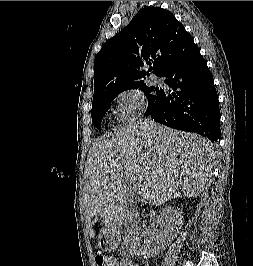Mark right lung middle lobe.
Wrapping results in <instances>:
<instances>
[{"label":"right lung middle lobe","instance_id":"obj_1","mask_svg":"<svg viewBox=\"0 0 253 266\" xmlns=\"http://www.w3.org/2000/svg\"><path fill=\"white\" fill-rule=\"evenodd\" d=\"M138 86L142 89V91L147 96L148 108L146 112H148L159 101L161 90L159 88H154V87L149 88L145 84H140ZM138 86L131 88V89H135ZM121 92L122 91L109 93L101 97L97 101L93 102L92 110H91L92 121L98 129H101V121L104 115L106 114L108 108L110 107L111 102Z\"/></svg>","mask_w":253,"mask_h":266}]
</instances>
